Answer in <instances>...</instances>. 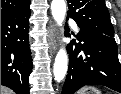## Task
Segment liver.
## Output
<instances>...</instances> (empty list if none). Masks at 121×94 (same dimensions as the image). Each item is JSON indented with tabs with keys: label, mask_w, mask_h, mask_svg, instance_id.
Returning <instances> with one entry per match:
<instances>
[{
	"label": "liver",
	"mask_w": 121,
	"mask_h": 94,
	"mask_svg": "<svg viewBox=\"0 0 121 94\" xmlns=\"http://www.w3.org/2000/svg\"><path fill=\"white\" fill-rule=\"evenodd\" d=\"M1 94H14L12 90L4 87V86H1Z\"/></svg>",
	"instance_id": "6515ba94"
}]
</instances>
